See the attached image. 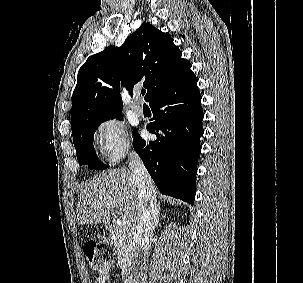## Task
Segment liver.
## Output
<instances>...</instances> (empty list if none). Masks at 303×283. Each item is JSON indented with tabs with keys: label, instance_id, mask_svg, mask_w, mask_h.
<instances>
[{
	"label": "liver",
	"instance_id": "liver-1",
	"mask_svg": "<svg viewBox=\"0 0 303 283\" xmlns=\"http://www.w3.org/2000/svg\"><path fill=\"white\" fill-rule=\"evenodd\" d=\"M156 195V191L154 190ZM138 193L132 172L128 168L107 170L94 176L82 187L77 205L80 225L109 221L113 209L120 206L124 219L135 226L139 217Z\"/></svg>",
	"mask_w": 303,
	"mask_h": 283
}]
</instances>
